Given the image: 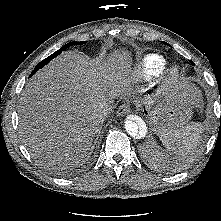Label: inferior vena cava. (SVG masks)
<instances>
[{
	"mask_svg": "<svg viewBox=\"0 0 221 221\" xmlns=\"http://www.w3.org/2000/svg\"><path fill=\"white\" fill-rule=\"evenodd\" d=\"M110 110L109 106L108 105H102L101 106V112H102V115L105 117L108 113V111Z\"/></svg>",
	"mask_w": 221,
	"mask_h": 221,
	"instance_id": "inferior-vena-cava-1",
	"label": "inferior vena cava"
}]
</instances>
